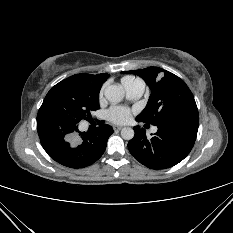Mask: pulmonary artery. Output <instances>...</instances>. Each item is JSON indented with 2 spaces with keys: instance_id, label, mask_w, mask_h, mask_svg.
<instances>
[{
  "instance_id": "obj_1",
  "label": "pulmonary artery",
  "mask_w": 233,
  "mask_h": 233,
  "mask_svg": "<svg viewBox=\"0 0 233 233\" xmlns=\"http://www.w3.org/2000/svg\"><path fill=\"white\" fill-rule=\"evenodd\" d=\"M145 85L144 83H137L125 88L126 95L129 99H138L144 93ZM157 131V127L152 128V132L155 133Z\"/></svg>"
}]
</instances>
